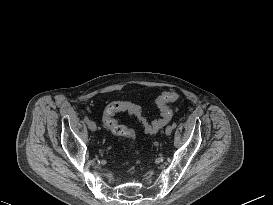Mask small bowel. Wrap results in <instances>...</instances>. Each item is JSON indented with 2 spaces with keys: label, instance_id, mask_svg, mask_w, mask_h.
Returning a JSON list of instances; mask_svg holds the SVG:
<instances>
[{
  "label": "small bowel",
  "instance_id": "obj_1",
  "mask_svg": "<svg viewBox=\"0 0 273 205\" xmlns=\"http://www.w3.org/2000/svg\"><path fill=\"white\" fill-rule=\"evenodd\" d=\"M115 103H119V102H115ZM120 103H123L126 107H128L130 105H134V104H132L130 102H120ZM123 111L128 112L126 109H124Z\"/></svg>",
  "mask_w": 273,
  "mask_h": 205
}]
</instances>
